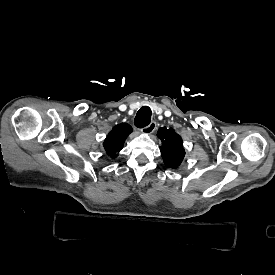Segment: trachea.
Returning <instances> with one entry per match:
<instances>
[{
  "label": "trachea",
  "mask_w": 275,
  "mask_h": 275,
  "mask_svg": "<svg viewBox=\"0 0 275 275\" xmlns=\"http://www.w3.org/2000/svg\"><path fill=\"white\" fill-rule=\"evenodd\" d=\"M151 109L147 106L142 107L134 119V124L137 128H144L151 122Z\"/></svg>",
  "instance_id": "1"
}]
</instances>
